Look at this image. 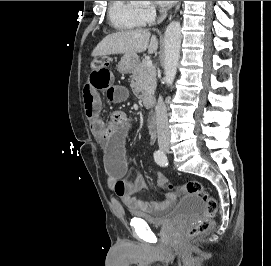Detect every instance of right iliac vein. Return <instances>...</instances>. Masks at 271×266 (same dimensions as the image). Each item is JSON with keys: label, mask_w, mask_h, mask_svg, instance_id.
<instances>
[{"label": "right iliac vein", "mask_w": 271, "mask_h": 266, "mask_svg": "<svg viewBox=\"0 0 271 266\" xmlns=\"http://www.w3.org/2000/svg\"><path fill=\"white\" fill-rule=\"evenodd\" d=\"M159 148H160L162 151L166 152V151L169 150V143H168V142L160 143Z\"/></svg>", "instance_id": "63e3f726"}]
</instances>
